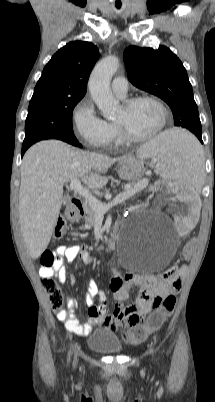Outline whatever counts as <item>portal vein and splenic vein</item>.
I'll return each mask as SVG.
<instances>
[{"label":"portal vein and splenic vein","instance_id":"1","mask_svg":"<svg viewBox=\"0 0 215 402\" xmlns=\"http://www.w3.org/2000/svg\"><path fill=\"white\" fill-rule=\"evenodd\" d=\"M148 184V180H143L140 183H138L135 188L129 189L127 188L125 192L119 194L114 198L113 201L110 203L104 204L101 201H99L97 198H95L88 189L84 188L81 185V182L79 179H74L71 181L69 185V189L73 190L77 194H79L81 197L85 198L89 204V206L93 209L95 214L97 216H103L110 208L113 206L124 202L126 199L129 197L133 196L139 189L144 188Z\"/></svg>","mask_w":215,"mask_h":402}]
</instances>
